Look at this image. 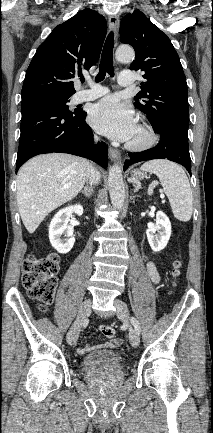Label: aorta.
Instances as JSON below:
<instances>
[{
    "label": "aorta",
    "mask_w": 213,
    "mask_h": 433,
    "mask_svg": "<svg viewBox=\"0 0 213 433\" xmlns=\"http://www.w3.org/2000/svg\"><path fill=\"white\" fill-rule=\"evenodd\" d=\"M115 57L117 61L126 63L134 59L135 53L130 46H120L116 50ZM108 188L112 205L117 209H121L124 205L125 185L122 170L120 166L116 164L110 167Z\"/></svg>",
    "instance_id": "obj_1"
}]
</instances>
